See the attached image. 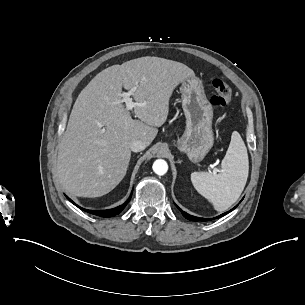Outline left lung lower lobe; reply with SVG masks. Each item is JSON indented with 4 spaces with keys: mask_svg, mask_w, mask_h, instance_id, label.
<instances>
[{
    "mask_svg": "<svg viewBox=\"0 0 305 305\" xmlns=\"http://www.w3.org/2000/svg\"><path fill=\"white\" fill-rule=\"evenodd\" d=\"M176 207L179 208L177 205H176ZM236 207H237V205H236L233 209H235ZM233 209H231L230 211H232ZM180 211L182 212L183 216H184L186 219L191 220V221H209V220H214V219L220 218L221 216H224L225 214H227V213L230 212V211H228V212H226V213H224V214H222V215H220V216H217V217H215V218L204 219V218H199V217L192 216V215H190V214H188V213L182 211L181 209H180Z\"/></svg>",
    "mask_w": 305,
    "mask_h": 305,
    "instance_id": "left-lung-lower-lobe-1",
    "label": "left lung lower lobe"
}]
</instances>
